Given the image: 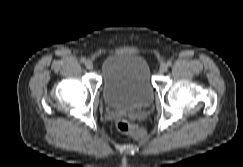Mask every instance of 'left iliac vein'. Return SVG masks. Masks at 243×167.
<instances>
[{"label": "left iliac vein", "instance_id": "4c4485c4", "mask_svg": "<svg viewBox=\"0 0 243 167\" xmlns=\"http://www.w3.org/2000/svg\"><path fill=\"white\" fill-rule=\"evenodd\" d=\"M167 69H168V66H167L166 63H162V64L160 65V67H159V71H160L161 73L166 72Z\"/></svg>", "mask_w": 243, "mask_h": 167}]
</instances>
